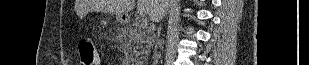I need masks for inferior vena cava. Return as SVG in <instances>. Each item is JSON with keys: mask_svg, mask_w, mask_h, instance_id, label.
<instances>
[{"mask_svg": "<svg viewBox=\"0 0 309 65\" xmlns=\"http://www.w3.org/2000/svg\"><path fill=\"white\" fill-rule=\"evenodd\" d=\"M162 2L165 4V11H166L169 7V0H162ZM158 31L159 32L161 31V26L158 28ZM157 61H158V54L155 53V55H154V65L157 64Z\"/></svg>", "mask_w": 309, "mask_h": 65, "instance_id": "obj_1", "label": "inferior vena cava"}]
</instances>
